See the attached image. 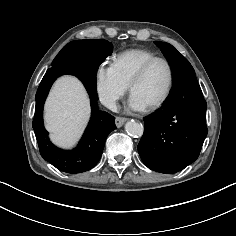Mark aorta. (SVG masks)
I'll list each match as a JSON object with an SVG mask.
<instances>
[{
	"label": "aorta",
	"instance_id": "aorta-1",
	"mask_svg": "<svg viewBox=\"0 0 236 236\" xmlns=\"http://www.w3.org/2000/svg\"><path fill=\"white\" fill-rule=\"evenodd\" d=\"M126 132L133 137H141L143 135V126L142 124L136 121H129L125 125Z\"/></svg>",
	"mask_w": 236,
	"mask_h": 236
}]
</instances>
